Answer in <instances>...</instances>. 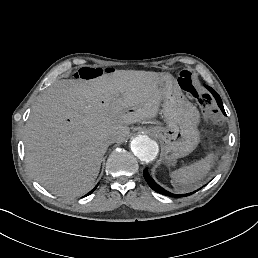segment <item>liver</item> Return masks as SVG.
Here are the masks:
<instances>
[{
	"instance_id": "6515ba94",
	"label": "liver",
	"mask_w": 258,
	"mask_h": 258,
	"mask_svg": "<svg viewBox=\"0 0 258 258\" xmlns=\"http://www.w3.org/2000/svg\"><path fill=\"white\" fill-rule=\"evenodd\" d=\"M161 72L117 70L91 80L62 79L37 99L24 128L25 162L52 194L75 198L95 182L108 145L156 115ZM164 80V78H163Z\"/></svg>"
}]
</instances>
